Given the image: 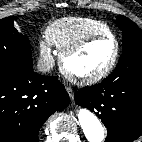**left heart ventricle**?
<instances>
[{
  "label": "left heart ventricle",
  "mask_w": 142,
  "mask_h": 142,
  "mask_svg": "<svg viewBox=\"0 0 142 142\" xmlns=\"http://www.w3.org/2000/svg\"><path fill=\"white\" fill-rule=\"evenodd\" d=\"M115 44L110 39L91 43L66 61L67 69L79 76H88L104 69L114 56Z\"/></svg>",
  "instance_id": "obj_1"
}]
</instances>
